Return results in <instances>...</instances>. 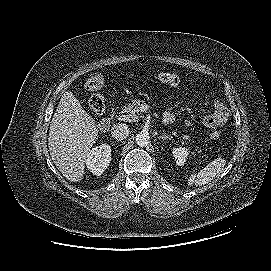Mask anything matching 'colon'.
Returning <instances> with one entry per match:
<instances>
[{"label": "colon", "instance_id": "obj_1", "mask_svg": "<svg viewBox=\"0 0 271 271\" xmlns=\"http://www.w3.org/2000/svg\"><path fill=\"white\" fill-rule=\"evenodd\" d=\"M158 80L160 83L177 87L181 83V79L178 75L172 73L162 72L158 74ZM104 84V78L102 73H96L89 76L85 81V89L91 92L88 107L93 114H102L105 109V97L102 92ZM218 133H214V137H217Z\"/></svg>", "mask_w": 271, "mask_h": 271}]
</instances>
